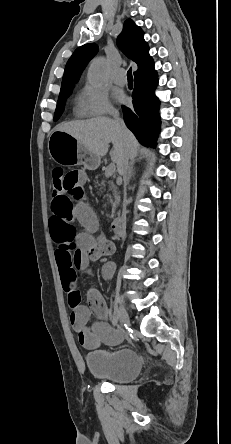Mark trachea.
I'll use <instances>...</instances> for the list:
<instances>
[{
  "instance_id": "1",
  "label": "trachea",
  "mask_w": 231,
  "mask_h": 444,
  "mask_svg": "<svg viewBox=\"0 0 231 444\" xmlns=\"http://www.w3.org/2000/svg\"><path fill=\"white\" fill-rule=\"evenodd\" d=\"M127 78L129 81H133L132 69L130 68L127 72Z\"/></svg>"
}]
</instances>
